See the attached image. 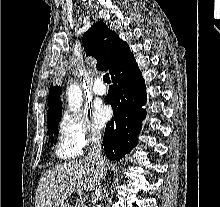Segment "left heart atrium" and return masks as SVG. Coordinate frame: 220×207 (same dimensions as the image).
Returning a JSON list of instances; mask_svg holds the SVG:
<instances>
[{"label": "left heart atrium", "instance_id": "left-heart-atrium-1", "mask_svg": "<svg viewBox=\"0 0 220 207\" xmlns=\"http://www.w3.org/2000/svg\"><path fill=\"white\" fill-rule=\"evenodd\" d=\"M110 119V111L105 106H96L93 111V121L97 128H103Z\"/></svg>", "mask_w": 220, "mask_h": 207}]
</instances>
